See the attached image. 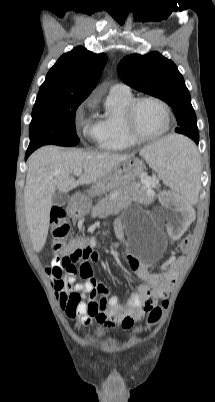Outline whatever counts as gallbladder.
Here are the masks:
<instances>
[{"label": "gallbladder", "mask_w": 215, "mask_h": 402, "mask_svg": "<svg viewBox=\"0 0 215 402\" xmlns=\"http://www.w3.org/2000/svg\"><path fill=\"white\" fill-rule=\"evenodd\" d=\"M69 195L67 193H63L61 191H56L53 195L52 203L55 206H64L69 202Z\"/></svg>", "instance_id": "bac80fb5"}]
</instances>
